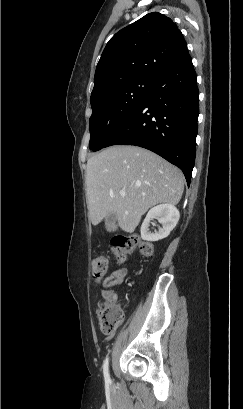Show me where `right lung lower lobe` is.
<instances>
[{
  "label": "right lung lower lobe",
  "mask_w": 243,
  "mask_h": 409,
  "mask_svg": "<svg viewBox=\"0 0 243 409\" xmlns=\"http://www.w3.org/2000/svg\"><path fill=\"white\" fill-rule=\"evenodd\" d=\"M198 100L196 73L187 51L154 82L106 147L128 144L151 150L178 166L189 185L196 154Z\"/></svg>",
  "instance_id": "1"
}]
</instances>
